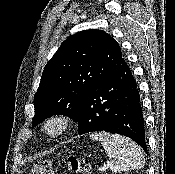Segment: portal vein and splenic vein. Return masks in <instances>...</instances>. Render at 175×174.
Returning <instances> with one entry per match:
<instances>
[{
    "label": "portal vein and splenic vein",
    "instance_id": "portal-vein-and-splenic-vein-1",
    "mask_svg": "<svg viewBox=\"0 0 175 174\" xmlns=\"http://www.w3.org/2000/svg\"><path fill=\"white\" fill-rule=\"evenodd\" d=\"M108 167H109L108 165H104V166L99 168V171L104 172L106 169H108Z\"/></svg>",
    "mask_w": 175,
    "mask_h": 174
}]
</instances>
